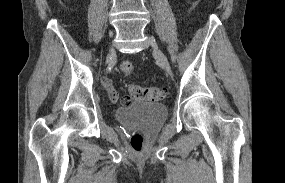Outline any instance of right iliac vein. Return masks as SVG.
Listing matches in <instances>:
<instances>
[{
  "instance_id": "63e3f726",
  "label": "right iliac vein",
  "mask_w": 285,
  "mask_h": 183,
  "mask_svg": "<svg viewBox=\"0 0 285 183\" xmlns=\"http://www.w3.org/2000/svg\"><path fill=\"white\" fill-rule=\"evenodd\" d=\"M114 53V49L112 48V46L109 48V55H112Z\"/></svg>"
}]
</instances>
